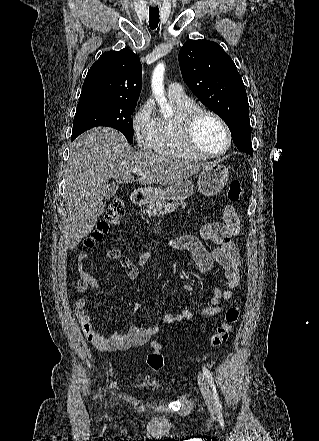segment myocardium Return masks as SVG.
<instances>
[{
	"instance_id": "myocardium-1",
	"label": "myocardium",
	"mask_w": 319,
	"mask_h": 441,
	"mask_svg": "<svg viewBox=\"0 0 319 441\" xmlns=\"http://www.w3.org/2000/svg\"><path fill=\"white\" fill-rule=\"evenodd\" d=\"M204 116H209L215 119L222 126L226 134V145L222 150L218 152L204 151L196 144L195 130L200 119ZM179 128H180V138L183 146L190 153L200 158L219 157L225 154L229 150L232 144L231 130L228 124L226 123V121L216 112L206 108L196 107L190 110L189 112L185 113L182 117H180Z\"/></svg>"
}]
</instances>
